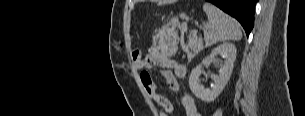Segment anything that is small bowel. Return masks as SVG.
I'll return each instance as SVG.
<instances>
[{"instance_id":"obj_1","label":"small bowel","mask_w":305,"mask_h":116,"mask_svg":"<svg viewBox=\"0 0 305 116\" xmlns=\"http://www.w3.org/2000/svg\"><path fill=\"white\" fill-rule=\"evenodd\" d=\"M132 58L135 68L137 70H143L142 72H148V70L153 66L160 67L168 87L173 91H177L179 89L177 79L184 78L186 76V67L180 62L165 55L156 45H152L145 56L137 50L134 51L132 53ZM140 77L147 95L164 110L160 116H168L172 114L174 107L171 101L165 96L157 93V86L150 74L149 79L143 78L142 75H140ZM181 104L184 109L185 116H201L195 100L190 94H184L182 96Z\"/></svg>"}]
</instances>
